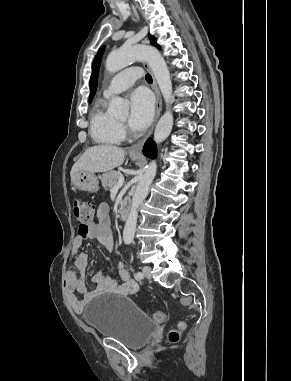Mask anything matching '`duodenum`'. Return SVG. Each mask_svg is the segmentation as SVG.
I'll use <instances>...</instances> for the list:
<instances>
[{"label": "duodenum", "mask_w": 291, "mask_h": 381, "mask_svg": "<svg viewBox=\"0 0 291 381\" xmlns=\"http://www.w3.org/2000/svg\"><path fill=\"white\" fill-rule=\"evenodd\" d=\"M129 210H130V202L128 200H123L119 208L121 219L126 220L128 218Z\"/></svg>", "instance_id": "obj_1"}]
</instances>
